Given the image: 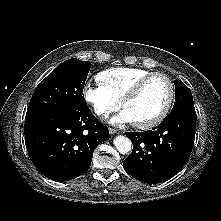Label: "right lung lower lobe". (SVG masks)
<instances>
[{
  "mask_svg": "<svg viewBox=\"0 0 221 221\" xmlns=\"http://www.w3.org/2000/svg\"><path fill=\"white\" fill-rule=\"evenodd\" d=\"M25 143L34 166L55 181H68L90 167L95 147L109 131L90 111L40 112L25 117Z\"/></svg>",
  "mask_w": 221,
  "mask_h": 221,
  "instance_id": "98d812e1",
  "label": "right lung lower lobe"
}]
</instances>
